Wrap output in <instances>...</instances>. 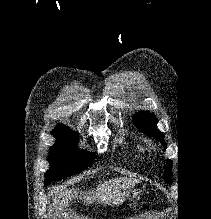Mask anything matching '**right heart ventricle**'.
Masks as SVG:
<instances>
[{"mask_svg": "<svg viewBox=\"0 0 211 219\" xmlns=\"http://www.w3.org/2000/svg\"><path fill=\"white\" fill-rule=\"evenodd\" d=\"M134 147H135V149L139 152V153H141L142 152V148L139 146V145H134Z\"/></svg>", "mask_w": 211, "mask_h": 219, "instance_id": "right-heart-ventricle-1", "label": "right heart ventricle"}]
</instances>
